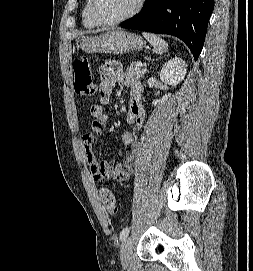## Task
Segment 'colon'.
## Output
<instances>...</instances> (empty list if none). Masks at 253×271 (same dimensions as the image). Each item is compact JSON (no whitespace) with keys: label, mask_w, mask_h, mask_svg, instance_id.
Masks as SVG:
<instances>
[{"label":"colon","mask_w":253,"mask_h":271,"mask_svg":"<svg viewBox=\"0 0 253 271\" xmlns=\"http://www.w3.org/2000/svg\"><path fill=\"white\" fill-rule=\"evenodd\" d=\"M72 71L74 75V91L82 97H94L96 86L92 81L89 63L85 57H79L73 61ZM99 198L103 207L110 213L117 212L116 199L113 192L107 187L99 189Z\"/></svg>","instance_id":"1"}]
</instances>
